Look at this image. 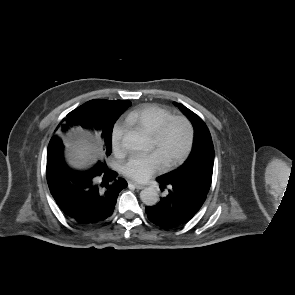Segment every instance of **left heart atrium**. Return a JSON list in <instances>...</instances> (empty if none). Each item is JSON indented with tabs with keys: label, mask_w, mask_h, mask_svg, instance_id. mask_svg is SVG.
Here are the masks:
<instances>
[{
	"label": "left heart atrium",
	"mask_w": 295,
	"mask_h": 295,
	"mask_svg": "<svg viewBox=\"0 0 295 295\" xmlns=\"http://www.w3.org/2000/svg\"><path fill=\"white\" fill-rule=\"evenodd\" d=\"M164 162L157 152L131 156L123 166L124 173L139 182H145L160 172Z\"/></svg>",
	"instance_id": "39dd6f15"
}]
</instances>
